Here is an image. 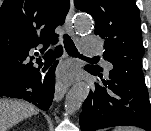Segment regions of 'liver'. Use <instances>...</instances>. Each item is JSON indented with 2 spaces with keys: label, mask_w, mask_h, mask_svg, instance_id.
<instances>
[{
  "label": "liver",
  "mask_w": 151,
  "mask_h": 131,
  "mask_svg": "<svg viewBox=\"0 0 151 131\" xmlns=\"http://www.w3.org/2000/svg\"><path fill=\"white\" fill-rule=\"evenodd\" d=\"M37 113L38 110L27 102L0 99V131H8L21 120Z\"/></svg>",
  "instance_id": "6515ba94"
}]
</instances>
